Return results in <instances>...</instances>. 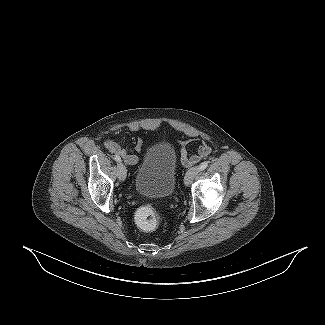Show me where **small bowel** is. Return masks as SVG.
I'll return each mask as SVG.
<instances>
[{
  "instance_id": "c3829d8e",
  "label": "small bowel",
  "mask_w": 325,
  "mask_h": 325,
  "mask_svg": "<svg viewBox=\"0 0 325 325\" xmlns=\"http://www.w3.org/2000/svg\"><path fill=\"white\" fill-rule=\"evenodd\" d=\"M181 145H182V148H181V157H182L183 163L186 166H191L193 164H196L201 159L207 157L210 154V152H211L210 147H208L206 145H202L199 148V151H198L197 154L190 156V155H188V153H187V151H186V149L184 147V143H182ZM104 146H105V148L110 153L116 154L118 156L120 155L128 165H135V164H137V162H138V156L135 155V154L127 153L121 147V145L118 144L117 142H115L114 140L107 139L104 142ZM142 146H143V140L142 139H138L137 140V143H136V146H135L136 151L137 152H140L142 150Z\"/></svg>"
}]
</instances>
